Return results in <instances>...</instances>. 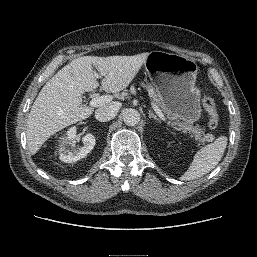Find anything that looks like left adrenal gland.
<instances>
[{
	"label": "left adrenal gland",
	"instance_id": "left-adrenal-gland-1",
	"mask_svg": "<svg viewBox=\"0 0 257 257\" xmlns=\"http://www.w3.org/2000/svg\"><path fill=\"white\" fill-rule=\"evenodd\" d=\"M148 115H149V118H154L155 120H158L159 122H161L160 119L151 110H149Z\"/></svg>",
	"mask_w": 257,
	"mask_h": 257
}]
</instances>
